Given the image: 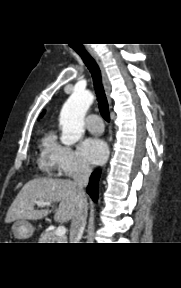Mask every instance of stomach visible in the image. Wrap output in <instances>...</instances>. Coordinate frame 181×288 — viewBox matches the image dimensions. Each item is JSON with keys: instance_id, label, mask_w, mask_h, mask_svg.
<instances>
[{"instance_id": "1", "label": "stomach", "mask_w": 181, "mask_h": 288, "mask_svg": "<svg viewBox=\"0 0 181 288\" xmlns=\"http://www.w3.org/2000/svg\"><path fill=\"white\" fill-rule=\"evenodd\" d=\"M11 232L16 239L24 240L33 235L34 227L26 221H16L11 227Z\"/></svg>"}]
</instances>
